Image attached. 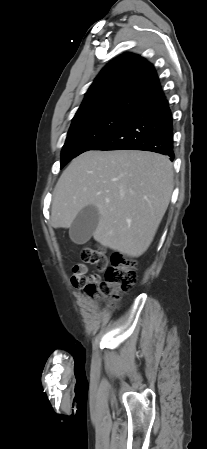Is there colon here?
<instances>
[{
  "label": "colon",
  "mask_w": 207,
  "mask_h": 449,
  "mask_svg": "<svg viewBox=\"0 0 207 449\" xmlns=\"http://www.w3.org/2000/svg\"><path fill=\"white\" fill-rule=\"evenodd\" d=\"M80 259L97 269L92 277L93 282L85 284L84 289L90 296L115 303L121 292L131 290L137 282L135 262L121 254H113L109 265V259L102 248L86 246L80 251ZM101 274L104 279L97 282Z\"/></svg>",
  "instance_id": "5ec220e1"
}]
</instances>
